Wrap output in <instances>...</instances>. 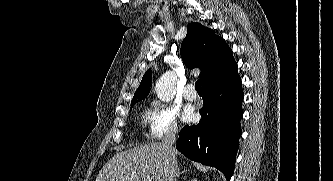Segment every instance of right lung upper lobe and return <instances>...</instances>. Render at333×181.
Masks as SVG:
<instances>
[{"label": "right lung upper lobe", "instance_id": "cb5924a9", "mask_svg": "<svg viewBox=\"0 0 333 181\" xmlns=\"http://www.w3.org/2000/svg\"><path fill=\"white\" fill-rule=\"evenodd\" d=\"M180 53L188 68H200L199 78L202 89L237 72V63L225 40L200 23L192 22L188 25ZM151 79V69H148L135 92L131 105L137 102L136 99L140 101L149 94Z\"/></svg>", "mask_w": 333, "mask_h": 181}]
</instances>
